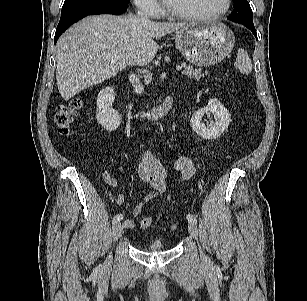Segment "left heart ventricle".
<instances>
[{
	"label": "left heart ventricle",
	"instance_id": "obj_1",
	"mask_svg": "<svg viewBox=\"0 0 307 301\" xmlns=\"http://www.w3.org/2000/svg\"><path fill=\"white\" fill-rule=\"evenodd\" d=\"M170 7L189 14H211L220 11L225 0H168Z\"/></svg>",
	"mask_w": 307,
	"mask_h": 301
}]
</instances>
